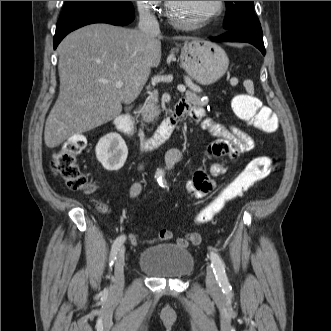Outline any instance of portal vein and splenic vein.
Wrapping results in <instances>:
<instances>
[{"mask_svg": "<svg viewBox=\"0 0 331 331\" xmlns=\"http://www.w3.org/2000/svg\"><path fill=\"white\" fill-rule=\"evenodd\" d=\"M115 86L116 88H121L123 86V82L122 81H117L115 83ZM177 89L180 91V92H185L186 91V87L184 85H178L177 86Z\"/></svg>", "mask_w": 331, "mask_h": 331, "instance_id": "1", "label": "portal vein and splenic vein"}]
</instances>
